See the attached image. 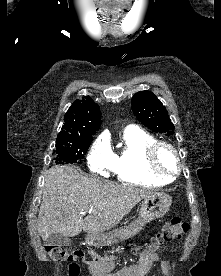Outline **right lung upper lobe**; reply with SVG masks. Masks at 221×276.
<instances>
[{
    "label": "right lung upper lobe",
    "instance_id": "obj_1",
    "mask_svg": "<svg viewBox=\"0 0 221 276\" xmlns=\"http://www.w3.org/2000/svg\"><path fill=\"white\" fill-rule=\"evenodd\" d=\"M101 125V112L98 104L90 96L77 99L64 115L62 131L57 141L72 139H92Z\"/></svg>",
    "mask_w": 221,
    "mask_h": 276
}]
</instances>
